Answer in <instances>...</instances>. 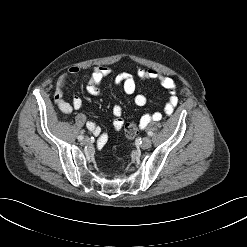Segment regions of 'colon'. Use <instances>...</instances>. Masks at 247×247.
<instances>
[{"instance_id": "1", "label": "colon", "mask_w": 247, "mask_h": 247, "mask_svg": "<svg viewBox=\"0 0 247 247\" xmlns=\"http://www.w3.org/2000/svg\"><path fill=\"white\" fill-rule=\"evenodd\" d=\"M137 125L135 123H127L124 127L126 139L131 141L137 135Z\"/></svg>"}]
</instances>
